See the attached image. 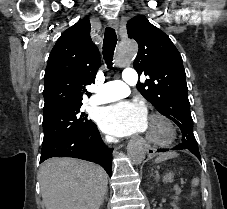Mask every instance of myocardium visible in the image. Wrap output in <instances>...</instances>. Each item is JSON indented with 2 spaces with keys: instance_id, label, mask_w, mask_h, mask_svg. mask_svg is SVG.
<instances>
[{
  "instance_id": "myocardium-1",
  "label": "myocardium",
  "mask_w": 227,
  "mask_h": 209,
  "mask_svg": "<svg viewBox=\"0 0 227 209\" xmlns=\"http://www.w3.org/2000/svg\"><path fill=\"white\" fill-rule=\"evenodd\" d=\"M149 121L163 123L167 127L168 135L164 139H154L150 137H145V143L153 146H162V145L171 146L176 142L178 138V131L175 124L169 117L161 113H154L151 115Z\"/></svg>"
}]
</instances>
